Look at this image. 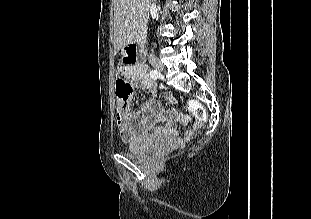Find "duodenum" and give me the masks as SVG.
Masks as SVG:
<instances>
[{
	"instance_id": "410a0bca",
	"label": "duodenum",
	"mask_w": 311,
	"mask_h": 219,
	"mask_svg": "<svg viewBox=\"0 0 311 219\" xmlns=\"http://www.w3.org/2000/svg\"><path fill=\"white\" fill-rule=\"evenodd\" d=\"M145 42H146L145 30L142 29L138 33L135 41L130 45H128L129 54L134 55L135 57L140 59L144 50Z\"/></svg>"
}]
</instances>
